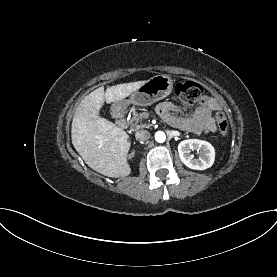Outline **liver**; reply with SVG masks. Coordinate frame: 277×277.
<instances>
[{
	"label": "liver",
	"instance_id": "liver-1",
	"mask_svg": "<svg viewBox=\"0 0 277 277\" xmlns=\"http://www.w3.org/2000/svg\"><path fill=\"white\" fill-rule=\"evenodd\" d=\"M146 81L130 82L92 91L78 105L71 128L72 144L85 163L108 177H125L131 173L127 162L130 149L128 134L99 116L104 102L122 100Z\"/></svg>",
	"mask_w": 277,
	"mask_h": 277
}]
</instances>
